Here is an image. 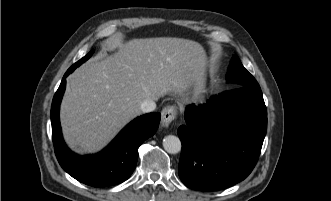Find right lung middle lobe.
I'll list each match as a JSON object with an SVG mask.
<instances>
[{"label":"right lung middle lobe","instance_id":"obj_1","mask_svg":"<svg viewBox=\"0 0 331 201\" xmlns=\"http://www.w3.org/2000/svg\"><path fill=\"white\" fill-rule=\"evenodd\" d=\"M93 52L94 51L89 52L85 57H83L78 62H76L75 64H73L68 70L70 72H73L79 65H81L83 62H85L86 60H88L91 57V55L93 54Z\"/></svg>","mask_w":331,"mask_h":201}]
</instances>
